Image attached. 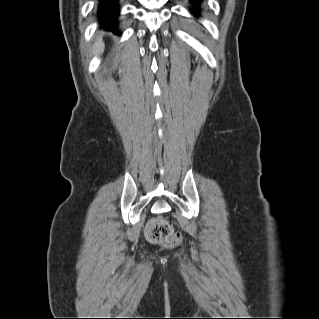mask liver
<instances>
[{
    "label": "liver",
    "instance_id": "1",
    "mask_svg": "<svg viewBox=\"0 0 319 319\" xmlns=\"http://www.w3.org/2000/svg\"><path fill=\"white\" fill-rule=\"evenodd\" d=\"M103 49H104V43L102 41V38L99 37V38H97V40H96V42H95V44L93 46L92 53L94 55H98V54H100L103 51Z\"/></svg>",
    "mask_w": 319,
    "mask_h": 319
}]
</instances>
